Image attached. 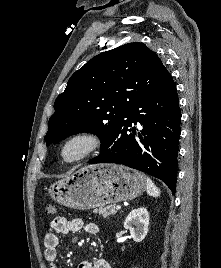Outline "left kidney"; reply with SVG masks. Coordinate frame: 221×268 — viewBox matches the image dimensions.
I'll list each match as a JSON object with an SVG mask.
<instances>
[{"label": "left kidney", "instance_id": "1", "mask_svg": "<svg viewBox=\"0 0 221 268\" xmlns=\"http://www.w3.org/2000/svg\"><path fill=\"white\" fill-rule=\"evenodd\" d=\"M148 225L149 213L144 207L132 210L124 221V228L130 231L135 242H141L146 237Z\"/></svg>", "mask_w": 221, "mask_h": 268}]
</instances>
